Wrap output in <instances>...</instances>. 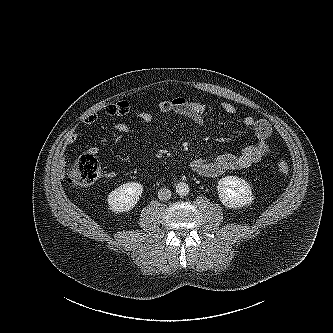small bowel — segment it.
Instances as JSON below:
<instances>
[{
    "instance_id": "obj_1",
    "label": "small bowel",
    "mask_w": 333,
    "mask_h": 333,
    "mask_svg": "<svg viewBox=\"0 0 333 333\" xmlns=\"http://www.w3.org/2000/svg\"><path fill=\"white\" fill-rule=\"evenodd\" d=\"M130 103L122 100L116 103L108 104L104 110L109 116L120 117L130 111ZM161 114H177L190 119L195 124H203L204 116L207 111L205 104L187 100L183 97H174L172 99L161 100L157 104ZM220 108L228 115H236V107L229 102H222ZM136 117L146 127L153 122V116L149 112L139 111ZM98 120V115L91 114L84 119L86 124H93ZM245 127L251 129L255 135L256 142L253 145L245 147L239 154L226 153L213 159L197 158L193 160L190 167L193 172L204 177H217L230 170L248 168L260 162L270 151L269 139L272 134V127L265 119H255L252 116L242 118ZM114 130L118 133L127 134L131 132V127L126 123H116ZM77 141V134L70 133L66 138L67 145H73ZM96 153V148L92 150ZM107 177L115 176L113 171L106 174Z\"/></svg>"
}]
</instances>
